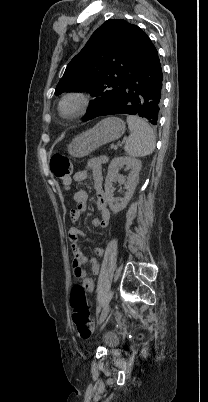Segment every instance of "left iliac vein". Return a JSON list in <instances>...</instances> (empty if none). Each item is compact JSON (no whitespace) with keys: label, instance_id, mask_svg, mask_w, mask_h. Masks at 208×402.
Returning <instances> with one entry per match:
<instances>
[{"label":"left iliac vein","instance_id":"left-iliac-vein-1","mask_svg":"<svg viewBox=\"0 0 208 402\" xmlns=\"http://www.w3.org/2000/svg\"><path fill=\"white\" fill-rule=\"evenodd\" d=\"M109 310H110V305L107 303L104 306V308H103V310L101 312V315H100V318H99V321H98L99 324H101V323H103L105 321V319H106V317H107V315L109 313Z\"/></svg>","mask_w":208,"mask_h":402}]
</instances>
